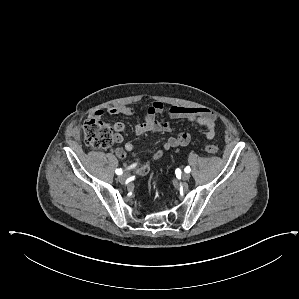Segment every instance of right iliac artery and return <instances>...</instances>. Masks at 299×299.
Masks as SVG:
<instances>
[{"label": "right iliac artery", "mask_w": 299, "mask_h": 299, "mask_svg": "<svg viewBox=\"0 0 299 299\" xmlns=\"http://www.w3.org/2000/svg\"><path fill=\"white\" fill-rule=\"evenodd\" d=\"M115 173H116L117 175H121V174L123 173V170H122V169H116V170H115Z\"/></svg>", "instance_id": "82829eb1"}]
</instances>
